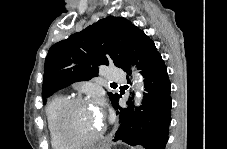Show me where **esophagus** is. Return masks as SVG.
<instances>
[{"label":"esophagus","instance_id":"obj_1","mask_svg":"<svg viewBox=\"0 0 227 149\" xmlns=\"http://www.w3.org/2000/svg\"><path fill=\"white\" fill-rule=\"evenodd\" d=\"M117 127H118V125H117ZM117 127L115 128L114 132H116ZM111 137H112V135H111L110 137H106L105 140L102 141V144H103V145H108L109 142L112 141V138H111Z\"/></svg>","mask_w":227,"mask_h":149}]
</instances>
